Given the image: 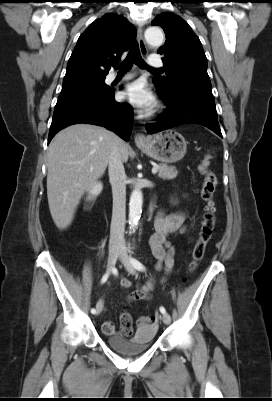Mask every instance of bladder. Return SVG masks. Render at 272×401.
I'll return each mask as SVG.
<instances>
[{
	"label": "bladder",
	"mask_w": 272,
	"mask_h": 401,
	"mask_svg": "<svg viewBox=\"0 0 272 401\" xmlns=\"http://www.w3.org/2000/svg\"><path fill=\"white\" fill-rule=\"evenodd\" d=\"M155 332V328H143L130 339L120 334H109L107 335V342L111 348L121 354L139 355L150 348Z\"/></svg>",
	"instance_id": "31cf9c89"
}]
</instances>
